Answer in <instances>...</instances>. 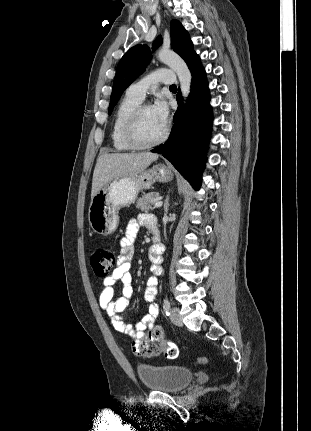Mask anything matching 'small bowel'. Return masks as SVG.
I'll return each mask as SVG.
<instances>
[{
  "label": "small bowel",
  "instance_id": "obj_1",
  "mask_svg": "<svg viewBox=\"0 0 311 431\" xmlns=\"http://www.w3.org/2000/svg\"><path fill=\"white\" fill-rule=\"evenodd\" d=\"M141 226H146L151 232L158 230L155 217L148 213H141L136 219L128 223L125 235L120 241L121 249L118 265L112 275L103 281L99 296V305L108 314L111 324L116 331L133 337L137 341L147 338L162 341L163 330L156 325L159 314V308L156 303L158 283L156 276H151L147 280L144 291V300L149 305L148 314L136 325L127 323L123 315L133 293L131 267L134 255V241ZM162 252L163 246H161V252L158 254L152 252V247L149 250V258L153 263L151 271L155 275L160 273L159 264L162 261ZM117 284H119L121 291L119 297H115V286Z\"/></svg>",
  "mask_w": 311,
  "mask_h": 431
}]
</instances>
